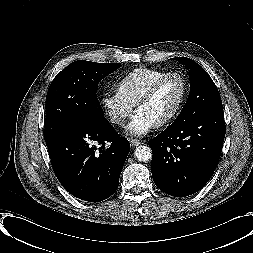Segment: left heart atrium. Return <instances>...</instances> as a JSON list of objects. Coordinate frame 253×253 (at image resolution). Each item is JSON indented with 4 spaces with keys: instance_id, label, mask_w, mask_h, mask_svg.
I'll list each match as a JSON object with an SVG mask.
<instances>
[{
    "instance_id": "left-heart-atrium-1",
    "label": "left heart atrium",
    "mask_w": 253,
    "mask_h": 253,
    "mask_svg": "<svg viewBox=\"0 0 253 253\" xmlns=\"http://www.w3.org/2000/svg\"><path fill=\"white\" fill-rule=\"evenodd\" d=\"M155 126L156 123L152 119L143 113L137 112L127 126L126 133L132 136L142 137L148 134Z\"/></svg>"
}]
</instances>
